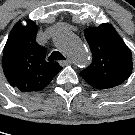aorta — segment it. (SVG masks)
<instances>
[{
	"label": "aorta",
	"instance_id": "obj_1",
	"mask_svg": "<svg viewBox=\"0 0 135 135\" xmlns=\"http://www.w3.org/2000/svg\"><path fill=\"white\" fill-rule=\"evenodd\" d=\"M55 45L67 54L74 64L87 66L89 54L82 41L72 32L61 30L54 36Z\"/></svg>",
	"mask_w": 135,
	"mask_h": 135
}]
</instances>
